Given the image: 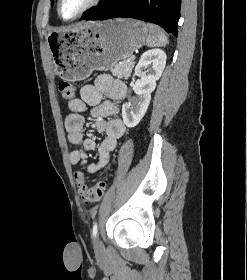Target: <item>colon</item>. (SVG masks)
Masks as SVG:
<instances>
[{
	"mask_svg": "<svg viewBox=\"0 0 247 280\" xmlns=\"http://www.w3.org/2000/svg\"><path fill=\"white\" fill-rule=\"evenodd\" d=\"M59 90L64 100H73L75 95V89L71 83L67 81L60 82ZM76 179L79 183V192L84 200L97 201L103 196L106 187L105 180H99L93 186H87L84 183L83 174L79 172L76 173Z\"/></svg>",
	"mask_w": 247,
	"mask_h": 280,
	"instance_id": "colon-1",
	"label": "colon"
}]
</instances>
